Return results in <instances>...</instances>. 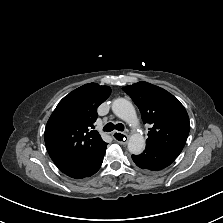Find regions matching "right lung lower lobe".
Returning <instances> with one entry per match:
<instances>
[{"label": "right lung lower lobe", "mask_w": 223, "mask_h": 223, "mask_svg": "<svg viewBox=\"0 0 223 223\" xmlns=\"http://www.w3.org/2000/svg\"><path fill=\"white\" fill-rule=\"evenodd\" d=\"M106 146L103 149H101L93 158H91L86 163L78 167L72 168L64 173L75 179H82L84 177L92 176L101 167V164L103 162V157L106 151Z\"/></svg>", "instance_id": "98d812e1"}]
</instances>
